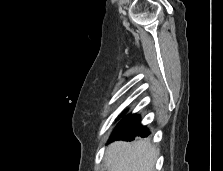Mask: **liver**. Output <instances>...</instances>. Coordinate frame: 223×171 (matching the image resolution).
<instances>
[{
  "label": "liver",
  "instance_id": "1",
  "mask_svg": "<svg viewBox=\"0 0 223 171\" xmlns=\"http://www.w3.org/2000/svg\"><path fill=\"white\" fill-rule=\"evenodd\" d=\"M159 149L149 141H117L109 145L105 161L110 171H154Z\"/></svg>",
  "mask_w": 223,
  "mask_h": 171
}]
</instances>
